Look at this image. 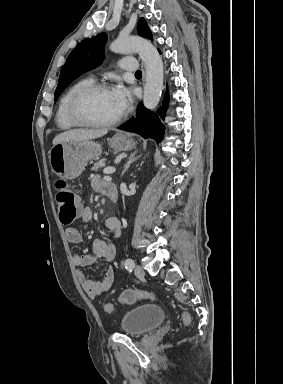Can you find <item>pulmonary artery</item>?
Returning a JSON list of instances; mask_svg holds the SVG:
<instances>
[{
    "mask_svg": "<svg viewBox=\"0 0 283 384\" xmlns=\"http://www.w3.org/2000/svg\"><path fill=\"white\" fill-rule=\"evenodd\" d=\"M121 70L122 71H136L137 65L134 63V61H122Z\"/></svg>",
    "mask_w": 283,
    "mask_h": 384,
    "instance_id": "obj_1",
    "label": "pulmonary artery"
}]
</instances>
